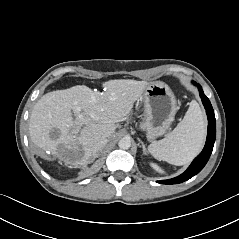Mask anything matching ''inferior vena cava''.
Here are the masks:
<instances>
[{"mask_svg": "<svg viewBox=\"0 0 239 239\" xmlns=\"http://www.w3.org/2000/svg\"><path fill=\"white\" fill-rule=\"evenodd\" d=\"M108 142L107 138H101L96 144V150H101Z\"/></svg>", "mask_w": 239, "mask_h": 239, "instance_id": "1", "label": "inferior vena cava"}]
</instances>
